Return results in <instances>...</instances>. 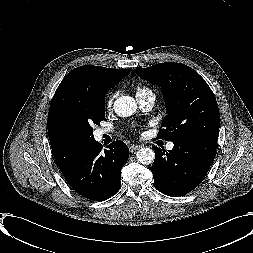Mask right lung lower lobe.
<instances>
[{
  "mask_svg": "<svg viewBox=\"0 0 253 253\" xmlns=\"http://www.w3.org/2000/svg\"><path fill=\"white\" fill-rule=\"evenodd\" d=\"M108 148L103 152L101 144L94 140L64 174L72 189L87 199L106 200L120 188V170L128 160L129 149L121 140Z\"/></svg>",
  "mask_w": 253,
  "mask_h": 253,
  "instance_id": "1",
  "label": "right lung lower lobe"
}]
</instances>
